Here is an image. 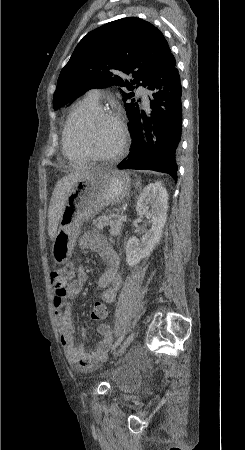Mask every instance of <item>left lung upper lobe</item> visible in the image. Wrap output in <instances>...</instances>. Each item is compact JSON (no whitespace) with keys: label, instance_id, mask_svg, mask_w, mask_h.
I'll use <instances>...</instances> for the list:
<instances>
[{"label":"left lung upper lobe","instance_id":"1","mask_svg":"<svg viewBox=\"0 0 245 450\" xmlns=\"http://www.w3.org/2000/svg\"><path fill=\"white\" fill-rule=\"evenodd\" d=\"M171 56L163 34L151 23L136 17L109 22L88 33L76 46L58 78L53 107L56 110L92 88L147 87ZM124 74L133 80L125 82ZM121 92L124 102L134 95ZM125 109L131 121L139 106L129 103Z\"/></svg>","mask_w":245,"mask_h":450}]
</instances>
